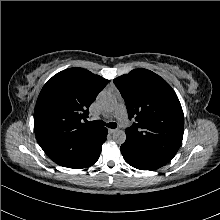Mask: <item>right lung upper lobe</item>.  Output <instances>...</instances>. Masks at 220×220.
<instances>
[{
	"label": "right lung upper lobe",
	"mask_w": 220,
	"mask_h": 220,
	"mask_svg": "<svg viewBox=\"0 0 220 220\" xmlns=\"http://www.w3.org/2000/svg\"><path fill=\"white\" fill-rule=\"evenodd\" d=\"M108 80L83 68H69L43 86L34 111V131L44 152L64 161L86 156L80 144L101 127L87 126L89 106Z\"/></svg>",
	"instance_id": "right-lung-upper-lobe-1"
}]
</instances>
